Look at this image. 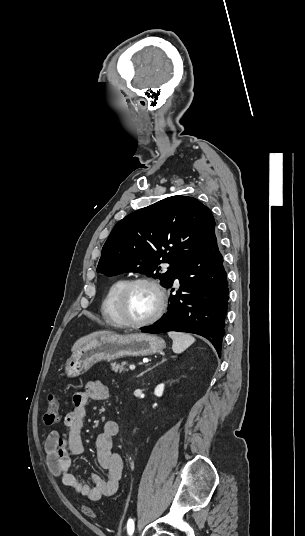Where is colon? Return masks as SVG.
<instances>
[{
    "label": "colon",
    "mask_w": 305,
    "mask_h": 536,
    "mask_svg": "<svg viewBox=\"0 0 305 536\" xmlns=\"http://www.w3.org/2000/svg\"><path fill=\"white\" fill-rule=\"evenodd\" d=\"M60 405L56 398L53 396L49 397V402L44 414V425L47 427L53 426L57 423L59 418ZM82 509H85L83 515L85 518L90 519L93 517L94 512L92 509L82 506Z\"/></svg>",
    "instance_id": "colon-1"
}]
</instances>
